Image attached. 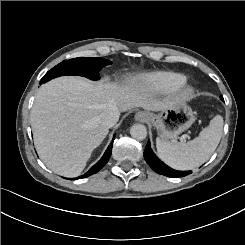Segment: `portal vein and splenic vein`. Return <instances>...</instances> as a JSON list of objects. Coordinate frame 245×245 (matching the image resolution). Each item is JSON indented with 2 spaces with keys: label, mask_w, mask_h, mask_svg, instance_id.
<instances>
[{
  "label": "portal vein and splenic vein",
  "mask_w": 245,
  "mask_h": 245,
  "mask_svg": "<svg viewBox=\"0 0 245 245\" xmlns=\"http://www.w3.org/2000/svg\"><path fill=\"white\" fill-rule=\"evenodd\" d=\"M186 137H187V135H183V136H182V139H185Z\"/></svg>",
  "instance_id": "portal-vein-and-splenic-vein-1"
}]
</instances>
